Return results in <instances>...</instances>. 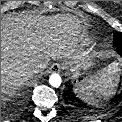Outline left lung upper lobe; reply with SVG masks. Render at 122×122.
Listing matches in <instances>:
<instances>
[{"label":"left lung upper lobe","mask_w":122,"mask_h":122,"mask_svg":"<svg viewBox=\"0 0 122 122\" xmlns=\"http://www.w3.org/2000/svg\"><path fill=\"white\" fill-rule=\"evenodd\" d=\"M113 42L117 48L122 47V32H116L113 34Z\"/></svg>","instance_id":"obj_1"}]
</instances>
